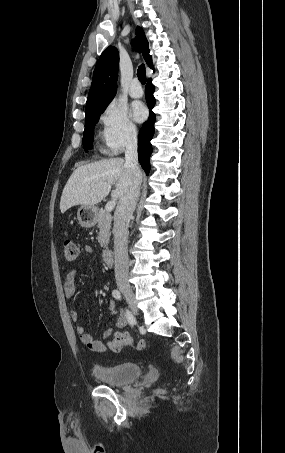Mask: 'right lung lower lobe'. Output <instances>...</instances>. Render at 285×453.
<instances>
[{
  "mask_svg": "<svg viewBox=\"0 0 285 453\" xmlns=\"http://www.w3.org/2000/svg\"><path fill=\"white\" fill-rule=\"evenodd\" d=\"M154 91L155 87L152 84L151 79H148L145 95L148 107L150 109V115L148 120L143 124L138 136V158L142 168L147 175L150 171L149 158L152 152L150 141L154 135L155 114L151 111L155 105V98L153 96Z\"/></svg>",
  "mask_w": 285,
  "mask_h": 453,
  "instance_id": "98d812e1",
  "label": "right lung lower lobe"
}]
</instances>
